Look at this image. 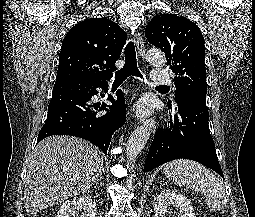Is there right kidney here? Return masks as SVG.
Masks as SVG:
<instances>
[{
	"mask_svg": "<svg viewBox=\"0 0 255 217\" xmlns=\"http://www.w3.org/2000/svg\"><path fill=\"white\" fill-rule=\"evenodd\" d=\"M83 211L81 217H97L96 204L90 196H80L63 202L55 217H70L76 211Z\"/></svg>",
	"mask_w": 255,
	"mask_h": 217,
	"instance_id": "1",
	"label": "right kidney"
}]
</instances>
